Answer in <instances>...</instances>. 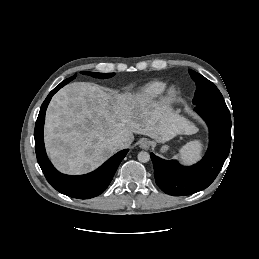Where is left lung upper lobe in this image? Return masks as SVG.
Instances as JSON below:
<instances>
[{
	"mask_svg": "<svg viewBox=\"0 0 259 259\" xmlns=\"http://www.w3.org/2000/svg\"><path fill=\"white\" fill-rule=\"evenodd\" d=\"M189 73L197 87L193 99L195 105L225 104L222 94L211 81L193 70H189Z\"/></svg>",
	"mask_w": 259,
	"mask_h": 259,
	"instance_id": "left-lung-upper-lobe-1",
	"label": "left lung upper lobe"
}]
</instances>
